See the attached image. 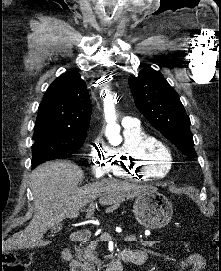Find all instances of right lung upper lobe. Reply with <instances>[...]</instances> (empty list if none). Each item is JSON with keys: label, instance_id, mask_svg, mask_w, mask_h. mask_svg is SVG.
Segmentation results:
<instances>
[{"label": "right lung upper lobe", "instance_id": "cb5924a9", "mask_svg": "<svg viewBox=\"0 0 221 271\" xmlns=\"http://www.w3.org/2000/svg\"><path fill=\"white\" fill-rule=\"evenodd\" d=\"M91 101L85 82L77 71L58 77L46 91L38 109L34 133H87Z\"/></svg>", "mask_w": 221, "mask_h": 271}]
</instances>
